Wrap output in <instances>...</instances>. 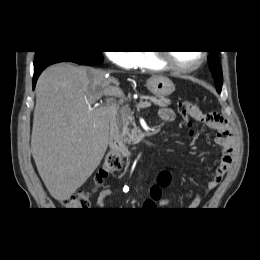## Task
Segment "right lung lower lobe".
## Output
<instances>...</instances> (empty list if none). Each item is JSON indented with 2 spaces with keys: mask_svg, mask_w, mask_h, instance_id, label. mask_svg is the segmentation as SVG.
I'll return each mask as SVG.
<instances>
[{
  "mask_svg": "<svg viewBox=\"0 0 260 260\" xmlns=\"http://www.w3.org/2000/svg\"><path fill=\"white\" fill-rule=\"evenodd\" d=\"M69 61L80 65L94 66L103 61L101 53L97 52H52L43 57L41 60L34 62L33 88L41 72L49 65Z\"/></svg>",
  "mask_w": 260,
  "mask_h": 260,
  "instance_id": "98d812e1",
  "label": "right lung lower lobe"
}]
</instances>
